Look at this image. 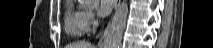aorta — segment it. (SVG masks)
<instances>
[{"mask_svg":"<svg viewBox=\"0 0 213 48\" xmlns=\"http://www.w3.org/2000/svg\"><path fill=\"white\" fill-rule=\"evenodd\" d=\"M99 0H79L84 4L98 3ZM128 3L127 0H123L118 4L115 14L109 24L108 30L105 34L104 48H120L123 32L126 27V21L128 16Z\"/></svg>","mask_w":213,"mask_h":48,"instance_id":"1","label":"aorta"}]
</instances>
